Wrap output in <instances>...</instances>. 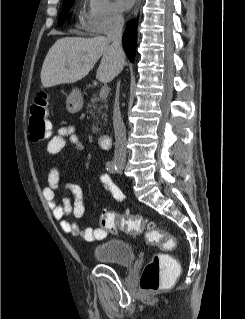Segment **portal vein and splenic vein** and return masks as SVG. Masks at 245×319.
Wrapping results in <instances>:
<instances>
[{
    "mask_svg": "<svg viewBox=\"0 0 245 319\" xmlns=\"http://www.w3.org/2000/svg\"><path fill=\"white\" fill-rule=\"evenodd\" d=\"M109 94V88L107 86H103L101 89H100V93H99V96L101 98H106Z\"/></svg>",
    "mask_w": 245,
    "mask_h": 319,
    "instance_id": "18ae733b",
    "label": "portal vein and splenic vein"
}]
</instances>
